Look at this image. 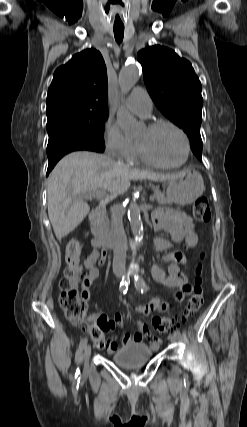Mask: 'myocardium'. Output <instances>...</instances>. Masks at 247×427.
Wrapping results in <instances>:
<instances>
[{
  "label": "myocardium",
  "mask_w": 247,
  "mask_h": 427,
  "mask_svg": "<svg viewBox=\"0 0 247 427\" xmlns=\"http://www.w3.org/2000/svg\"><path fill=\"white\" fill-rule=\"evenodd\" d=\"M164 126H167V127L174 129L181 136V138L183 140L184 155H183V158L181 161H179L178 163H175V164L161 163V162L155 160L149 154L148 150L146 149V147L141 142H137V146H138V149L140 151V154H141L143 160L145 162H147L148 164L155 166V167H158V168H163V169H176V168L183 166L189 158V155H190L189 138H188L187 134L185 133V131L181 127H179L177 124H175L174 122L169 121V120H158V121L151 122L147 125V129L150 131H153V130H156L158 128L164 127Z\"/></svg>",
  "instance_id": "f54148a6"
}]
</instances>
